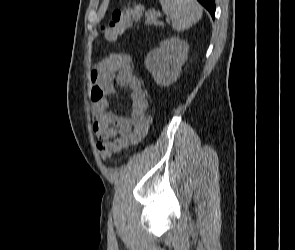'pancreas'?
<instances>
[{"label":"pancreas","instance_id":"pancreas-1","mask_svg":"<svg viewBox=\"0 0 295 250\" xmlns=\"http://www.w3.org/2000/svg\"><path fill=\"white\" fill-rule=\"evenodd\" d=\"M145 17H146V21H145L146 25L159 24L156 20V13L154 11L146 12Z\"/></svg>","mask_w":295,"mask_h":250}]
</instances>
